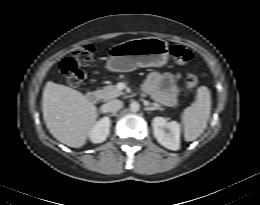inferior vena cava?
<instances>
[{
  "instance_id": "1",
  "label": "inferior vena cava",
  "mask_w": 260,
  "mask_h": 205,
  "mask_svg": "<svg viewBox=\"0 0 260 205\" xmlns=\"http://www.w3.org/2000/svg\"><path fill=\"white\" fill-rule=\"evenodd\" d=\"M122 101L120 100H111L109 102H107L104 107L106 112H110V113H114L117 112L118 110H120L122 108Z\"/></svg>"
}]
</instances>
